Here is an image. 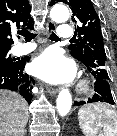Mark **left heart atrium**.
Instances as JSON below:
<instances>
[{"instance_id":"left-heart-atrium-1","label":"left heart atrium","mask_w":117,"mask_h":136,"mask_svg":"<svg viewBox=\"0 0 117 136\" xmlns=\"http://www.w3.org/2000/svg\"><path fill=\"white\" fill-rule=\"evenodd\" d=\"M32 73L49 83H62L73 78L74 64L57 49L42 53L31 65Z\"/></svg>"}]
</instances>
